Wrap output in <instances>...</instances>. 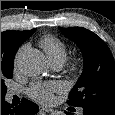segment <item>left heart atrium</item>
Returning <instances> with one entry per match:
<instances>
[{
  "mask_svg": "<svg viewBox=\"0 0 115 115\" xmlns=\"http://www.w3.org/2000/svg\"><path fill=\"white\" fill-rule=\"evenodd\" d=\"M64 90V86L59 81L34 82L27 89V94L33 100L49 104L54 99V94Z\"/></svg>",
  "mask_w": 115,
  "mask_h": 115,
  "instance_id": "39dd6f15",
  "label": "left heart atrium"
}]
</instances>
